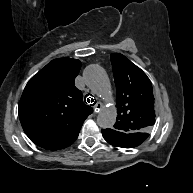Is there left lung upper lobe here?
<instances>
[{
	"instance_id": "obj_1",
	"label": "left lung upper lobe",
	"mask_w": 193,
	"mask_h": 193,
	"mask_svg": "<svg viewBox=\"0 0 193 193\" xmlns=\"http://www.w3.org/2000/svg\"><path fill=\"white\" fill-rule=\"evenodd\" d=\"M117 89L116 131L140 136L155 123L152 86L146 74L124 55L111 54Z\"/></svg>"
}]
</instances>
